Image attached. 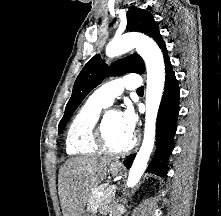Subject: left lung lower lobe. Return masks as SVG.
Wrapping results in <instances>:
<instances>
[{
	"instance_id": "1",
	"label": "left lung lower lobe",
	"mask_w": 221,
	"mask_h": 216,
	"mask_svg": "<svg viewBox=\"0 0 221 216\" xmlns=\"http://www.w3.org/2000/svg\"><path fill=\"white\" fill-rule=\"evenodd\" d=\"M163 52L166 68L164 93L158 111L156 122L157 147L155 157L149 165L148 171L165 176L167 172L166 162L173 150V138L177 129V117L179 112V87L172 70L165 43L159 46ZM135 154L124 162L130 168Z\"/></svg>"
}]
</instances>
